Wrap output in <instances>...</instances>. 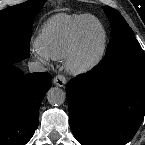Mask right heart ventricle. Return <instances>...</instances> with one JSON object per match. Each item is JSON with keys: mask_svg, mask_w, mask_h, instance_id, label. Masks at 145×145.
<instances>
[{"mask_svg": "<svg viewBox=\"0 0 145 145\" xmlns=\"http://www.w3.org/2000/svg\"><path fill=\"white\" fill-rule=\"evenodd\" d=\"M95 19L90 14H56L40 29L35 47L51 59H63L73 48L79 28Z\"/></svg>", "mask_w": 145, "mask_h": 145, "instance_id": "obj_1", "label": "right heart ventricle"}]
</instances>
